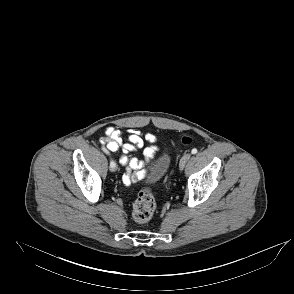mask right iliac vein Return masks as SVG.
I'll return each instance as SVG.
<instances>
[{
    "mask_svg": "<svg viewBox=\"0 0 294 294\" xmlns=\"http://www.w3.org/2000/svg\"><path fill=\"white\" fill-rule=\"evenodd\" d=\"M116 169H117V166H114V167H111V166H110V170H111L112 172H115Z\"/></svg>",
    "mask_w": 294,
    "mask_h": 294,
    "instance_id": "right-iliac-vein-1",
    "label": "right iliac vein"
}]
</instances>
